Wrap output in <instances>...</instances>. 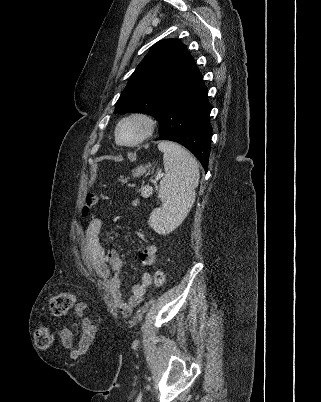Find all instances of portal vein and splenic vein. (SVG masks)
<instances>
[{
  "label": "portal vein and splenic vein",
  "instance_id": "obj_1",
  "mask_svg": "<svg viewBox=\"0 0 321 402\" xmlns=\"http://www.w3.org/2000/svg\"><path fill=\"white\" fill-rule=\"evenodd\" d=\"M161 176H162V174H158L157 179L160 178ZM150 191H151V187H147L144 190H142L141 194L143 197H149Z\"/></svg>",
  "mask_w": 321,
  "mask_h": 402
}]
</instances>
